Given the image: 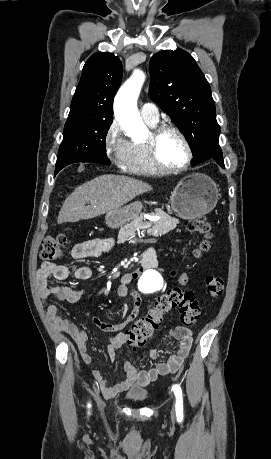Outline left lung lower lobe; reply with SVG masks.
<instances>
[{
	"label": "left lung lower lobe",
	"mask_w": 271,
	"mask_h": 459,
	"mask_svg": "<svg viewBox=\"0 0 271 459\" xmlns=\"http://www.w3.org/2000/svg\"><path fill=\"white\" fill-rule=\"evenodd\" d=\"M206 161H216L222 168H225L222 156L221 157H212L211 159H208Z\"/></svg>",
	"instance_id": "0a47b994"
}]
</instances>
